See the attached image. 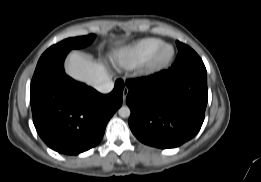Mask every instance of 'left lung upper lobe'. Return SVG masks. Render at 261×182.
<instances>
[{"mask_svg":"<svg viewBox=\"0 0 261 182\" xmlns=\"http://www.w3.org/2000/svg\"><path fill=\"white\" fill-rule=\"evenodd\" d=\"M178 55L170 70L178 71L187 68H205L202 59L189 46L177 41Z\"/></svg>","mask_w":261,"mask_h":182,"instance_id":"1","label":"left lung upper lobe"}]
</instances>
